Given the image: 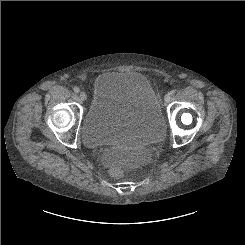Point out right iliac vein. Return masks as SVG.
Returning a JSON list of instances; mask_svg holds the SVG:
<instances>
[{"label": "right iliac vein", "instance_id": "1", "mask_svg": "<svg viewBox=\"0 0 245 245\" xmlns=\"http://www.w3.org/2000/svg\"><path fill=\"white\" fill-rule=\"evenodd\" d=\"M79 97L82 101H85L87 99V94L85 92H80Z\"/></svg>", "mask_w": 245, "mask_h": 245}]
</instances>
